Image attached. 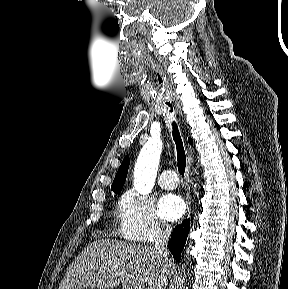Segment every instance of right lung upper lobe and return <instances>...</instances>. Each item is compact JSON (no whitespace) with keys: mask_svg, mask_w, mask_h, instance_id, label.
I'll list each match as a JSON object with an SVG mask.
<instances>
[{"mask_svg":"<svg viewBox=\"0 0 288 289\" xmlns=\"http://www.w3.org/2000/svg\"><path fill=\"white\" fill-rule=\"evenodd\" d=\"M189 143L192 144L193 141L191 138H189ZM128 167H129V157L126 156L119 169L118 172L115 176V179L113 181L112 187L111 189L115 192V191H121L124 185V182L126 180V176H127V172H128Z\"/></svg>","mask_w":288,"mask_h":289,"instance_id":"cb5924a9","label":"right lung upper lobe"}]
</instances>
